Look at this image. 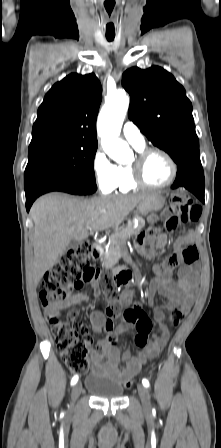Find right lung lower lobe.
<instances>
[{
    "label": "right lung lower lobe",
    "instance_id": "obj_1",
    "mask_svg": "<svg viewBox=\"0 0 221 448\" xmlns=\"http://www.w3.org/2000/svg\"><path fill=\"white\" fill-rule=\"evenodd\" d=\"M24 188L26 194V210L29 211L34 200L51 191H62L75 195H87L97 189L95 181L77 180L47 170L25 173Z\"/></svg>",
    "mask_w": 221,
    "mask_h": 448
}]
</instances>
